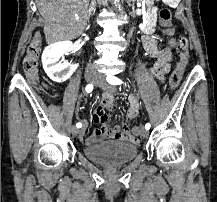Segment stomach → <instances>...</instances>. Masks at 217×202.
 Returning <instances> with one entry per match:
<instances>
[{
	"label": "stomach",
	"instance_id": "0dacf381",
	"mask_svg": "<svg viewBox=\"0 0 217 202\" xmlns=\"http://www.w3.org/2000/svg\"><path fill=\"white\" fill-rule=\"evenodd\" d=\"M154 0H148V4H153Z\"/></svg>",
	"mask_w": 217,
	"mask_h": 202
}]
</instances>
